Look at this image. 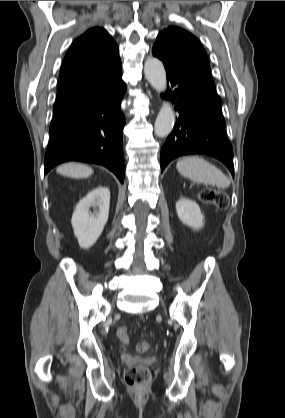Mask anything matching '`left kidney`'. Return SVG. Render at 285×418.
I'll return each instance as SVG.
<instances>
[{
  "label": "left kidney",
  "mask_w": 285,
  "mask_h": 418,
  "mask_svg": "<svg viewBox=\"0 0 285 418\" xmlns=\"http://www.w3.org/2000/svg\"><path fill=\"white\" fill-rule=\"evenodd\" d=\"M176 211L179 219L193 229H200L203 226V215L198 204L190 199L180 198L176 202Z\"/></svg>",
  "instance_id": "1"
}]
</instances>
